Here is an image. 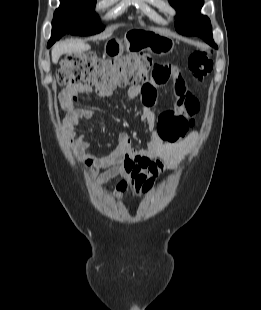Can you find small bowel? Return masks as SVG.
<instances>
[{
	"label": "small bowel",
	"mask_w": 261,
	"mask_h": 310,
	"mask_svg": "<svg viewBox=\"0 0 261 310\" xmlns=\"http://www.w3.org/2000/svg\"><path fill=\"white\" fill-rule=\"evenodd\" d=\"M171 84L177 96L173 109H162L156 114L150 109L159 86ZM92 88L73 85L63 90V98L72 107L64 125L67 136L73 141V149L83 164L89 168L91 179H97L99 185L113 178L121 177L117 184V198L126 192L141 196L152 188L156 178L165 170L175 168L196 139V132L186 133L194 125V117L199 111V102L185 85L180 70L169 63H157L153 70V79L139 86L128 88L130 98L142 97L146 107L140 116L148 125L149 142L146 148L137 149L132 145L129 134L119 135L117 148L105 156L86 153L89 144L87 136L78 135L76 127L81 120L91 119L93 111L89 108L73 107L78 96L90 94ZM97 95L108 98L113 90L97 91ZM104 170L103 172H101Z\"/></svg>",
	"instance_id": "obj_1"
}]
</instances>
